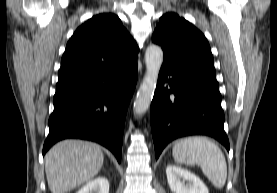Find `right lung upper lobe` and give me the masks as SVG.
I'll return each instance as SVG.
<instances>
[{
  "label": "right lung upper lobe",
  "instance_id": "cb5924a9",
  "mask_svg": "<svg viewBox=\"0 0 277 193\" xmlns=\"http://www.w3.org/2000/svg\"><path fill=\"white\" fill-rule=\"evenodd\" d=\"M138 47L114 14L93 16L70 38L58 82L92 76L137 57Z\"/></svg>",
  "mask_w": 277,
  "mask_h": 193
}]
</instances>
